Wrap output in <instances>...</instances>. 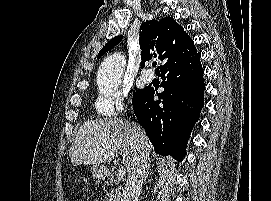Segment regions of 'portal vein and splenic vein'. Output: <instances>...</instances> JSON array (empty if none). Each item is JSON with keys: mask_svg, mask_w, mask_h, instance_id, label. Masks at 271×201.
<instances>
[{"mask_svg": "<svg viewBox=\"0 0 271 201\" xmlns=\"http://www.w3.org/2000/svg\"><path fill=\"white\" fill-rule=\"evenodd\" d=\"M110 149H112L114 152H117V148L115 146H111ZM126 174V170L124 167H119L118 169V175L119 177H124Z\"/></svg>", "mask_w": 271, "mask_h": 201, "instance_id": "portal-vein-and-splenic-vein-1", "label": "portal vein and splenic vein"}]
</instances>
